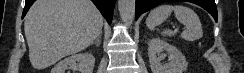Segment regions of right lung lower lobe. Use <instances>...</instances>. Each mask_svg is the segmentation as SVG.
I'll return each instance as SVG.
<instances>
[{
  "label": "right lung lower lobe",
  "instance_id": "98d812e1",
  "mask_svg": "<svg viewBox=\"0 0 244 73\" xmlns=\"http://www.w3.org/2000/svg\"><path fill=\"white\" fill-rule=\"evenodd\" d=\"M36 0H25V7L23 10L22 18L26 15L27 11L29 10L30 6ZM96 7L100 10L102 15L107 19L108 23L111 24L112 15L114 10V5L116 0H91Z\"/></svg>",
  "mask_w": 244,
  "mask_h": 73
}]
</instances>
